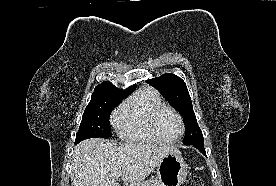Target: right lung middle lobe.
<instances>
[{"label":"right lung middle lobe","mask_w":276,"mask_h":186,"mask_svg":"<svg viewBox=\"0 0 276 186\" xmlns=\"http://www.w3.org/2000/svg\"><path fill=\"white\" fill-rule=\"evenodd\" d=\"M128 95L93 93L76 134L75 143L95 137H111L109 116L113 108Z\"/></svg>","instance_id":"dd1d6c3e"}]
</instances>
